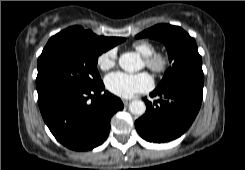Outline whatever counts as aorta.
<instances>
[{
	"instance_id": "762f6f07",
	"label": "aorta",
	"mask_w": 245,
	"mask_h": 170,
	"mask_svg": "<svg viewBox=\"0 0 245 170\" xmlns=\"http://www.w3.org/2000/svg\"><path fill=\"white\" fill-rule=\"evenodd\" d=\"M140 57L136 53L127 52L120 56L119 65L126 72H135L140 68ZM129 110L132 114L143 115L146 110L145 103L142 100H133L129 104Z\"/></svg>"
}]
</instances>
